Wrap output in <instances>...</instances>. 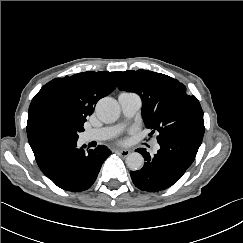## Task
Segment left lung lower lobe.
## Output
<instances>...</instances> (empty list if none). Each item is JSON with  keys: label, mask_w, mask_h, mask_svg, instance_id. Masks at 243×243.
Returning a JSON list of instances; mask_svg holds the SVG:
<instances>
[{"label": "left lung lower lobe", "mask_w": 243, "mask_h": 243, "mask_svg": "<svg viewBox=\"0 0 243 243\" xmlns=\"http://www.w3.org/2000/svg\"><path fill=\"white\" fill-rule=\"evenodd\" d=\"M204 130V126H192L177 131L159 142L160 149L154 156L146 149H137L146 162L141 170L130 172L135 186L143 191L158 192L175 184L193 163Z\"/></svg>", "instance_id": "obj_1"}]
</instances>
